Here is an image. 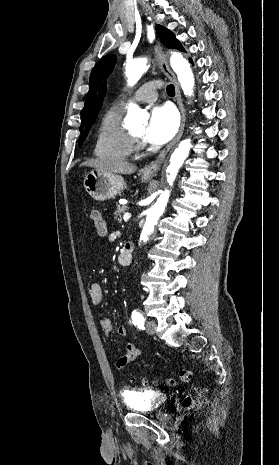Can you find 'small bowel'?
I'll return each mask as SVG.
<instances>
[{
	"mask_svg": "<svg viewBox=\"0 0 279 465\" xmlns=\"http://www.w3.org/2000/svg\"><path fill=\"white\" fill-rule=\"evenodd\" d=\"M110 240L115 239V235L112 234L109 236ZM89 297L91 303L94 305H99L103 301V291L100 285L93 284L89 289ZM100 326L105 336H110L113 331V324L109 318H103L100 320ZM120 336L127 335V329L124 326H120L117 330ZM142 350L137 348L133 342L126 344L123 353L118 358L116 366L119 370L124 369L131 363H133L139 356L142 355Z\"/></svg>",
	"mask_w": 279,
	"mask_h": 465,
	"instance_id": "obj_1",
	"label": "small bowel"
}]
</instances>
